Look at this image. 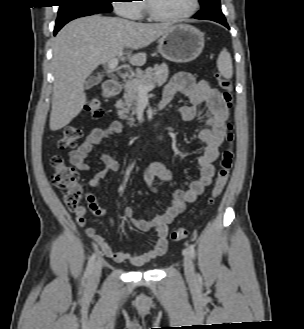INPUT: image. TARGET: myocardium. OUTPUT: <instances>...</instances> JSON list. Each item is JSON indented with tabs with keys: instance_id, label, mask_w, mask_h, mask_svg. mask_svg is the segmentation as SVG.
Masks as SVG:
<instances>
[{
	"instance_id": "obj_1",
	"label": "myocardium",
	"mask_w": 304,
	"mask_h": 329,
	"mask_svg": "<svg viewBox=\"0 0 304 329\" xmlns=\"http://www.w3.org/2000/svg\"><path fill=\"white\" fill-rule=\"evenodd\" d=\"M145 2V9L148 14V16L155 20V21H160V22H177L184 20L186 18H189L193 16L199 9L200 1L199 0H193L192 1V7L190 8L189 11L180 14V15H174V16H167V15H162L155 11V9L152 6L151 0H144Z\"/></svg>"
}]
</instances>
